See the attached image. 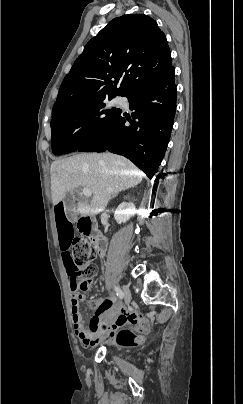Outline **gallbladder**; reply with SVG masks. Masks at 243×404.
Returning <instances> with one entry per match:
<instances>
[{
  "label": "gallbladder",
  "instance_id": "gallbladder-1",
  "mask_svg": "<svg viewBox=\"0 0 243 404\" xmlns=\"http://www.w3.org/2000/svg\"><path fill=\"white\" fill-rule=\"evenodd\" d=\"M77 195V194H76ZM71 192H67L63 202L65 204V212H66V218L69 219V223L73 224L74 223V218L76 217V214L74 213V207L77 206V201L75 199V196Z\"/></svg>",
  "mask_w": 243,
  "mask_h": 404
}]
</instances>
